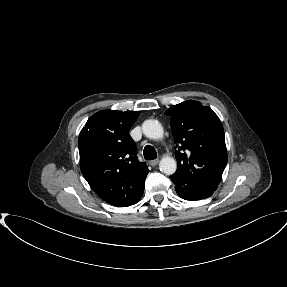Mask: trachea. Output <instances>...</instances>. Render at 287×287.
I'll use <instances>...</instances> for the list:
<instances>
[{
	"label": "trachea",
	"instance_id": "3493384b",
	"mask_svg": "<svg viewBox=\"0 0 287 287\" xmlns=\"http://www.w3.org/2000/svg\"><path fill=\"white\" fill-rule=\"evenodd\" d=\"M143 154H144V158L146 160H153V159L157 158L156 150L151 145L145 146V148L143 150Z\"/></svg>",
	"mask_w": 287,
	"mask_h": 287
}]
</instances>
